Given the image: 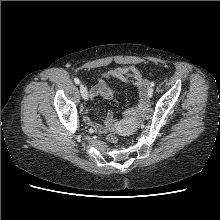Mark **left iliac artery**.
Segmentation results:
<instances>
[{
    "label": "left iliac artery",
    "instance_id": "obj_1",
    "mask_svg": "<svg viewBox=\"0 0 220 220\" xmlns=\"http://www.w3.org/2000/svg\"><path fill=\"white\" fill-rule=\"evenodd\" d=\"M154 85H155V82L152 81V82H151V87H153Z\"/></svg>",
    "mask_w": 220,
    "mask_h": 220
}]
</instances>
